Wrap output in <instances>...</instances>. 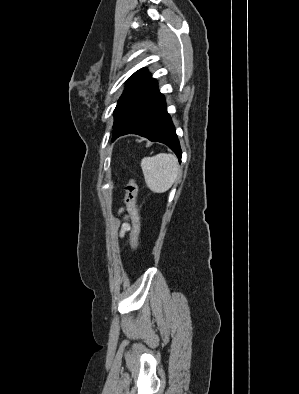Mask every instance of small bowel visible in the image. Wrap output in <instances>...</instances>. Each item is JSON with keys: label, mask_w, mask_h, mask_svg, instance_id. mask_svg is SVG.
I'll return each mask as SVG.
<instances>
[{"label": "small bowel", "mask_w": 299, "mask_h": 394, "mask_svg": "<svg viewBox=\"0 0 299 394\" xmlns=\"http://www.w3.org/2000/svg\"><path fill=\"white\" fill-rule=\"evenodd\" d=\"M119 212L123 214L124 208H121ZM124 216H125L126 220L131 219L129 214H124ZM130 229H131V226H130L129 222L125 221L121 226L120 237H123L125 235V233L130 231Z\"/></svg>", "instance_id": "1"}]
</instances>
